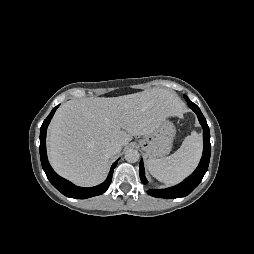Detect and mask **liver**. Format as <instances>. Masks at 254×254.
<instances>
[{"mask_svg":"<svg viewBox=\"0 0 254 254\" xmlns=\"http://www.w3.org/2000/svg\"><path fill=\"white\" fill-rule=\"evenodd\" d=\"M182 103L173 91L152 88L119 97L69 100L48 129V156L61 176L84 187L101 183L108 171L106 149L127 145L132 136L149 135Z\"/></svg>","mask_w":254,"mask_h":254,"instance_id":"6515ba94","label":"liver"}]
</instances>
